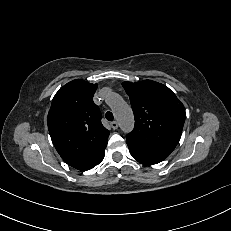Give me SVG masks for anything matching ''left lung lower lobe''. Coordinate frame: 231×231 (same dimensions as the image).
I'll return each instance as SVG.
<instances>
[{"label": "left lung lower lobe", "mask_w": 231, "mask_h": 231, "mask_svg": "<svg viewBox=\"0 0 231 231\" xmlns=\"http://www.w3.org/2000/svg\"><path fill=\"white\" fill-rule=\"evenodd\" d=\"M127 145L132 157L137 161H139L140 163L153 165L163 161L166 158V156L163 155H158V154H153L143 151L131 143L127 142Z\"/></svg>", "instance_id": "0a47b994"}]
</instances>
